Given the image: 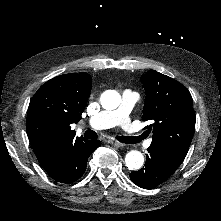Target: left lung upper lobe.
Wrapping results in <instances>:
<instances>
[{
	"instance_id": "5c2ea615",
	"label": "left lung upper lobe",
	"mask_w": 221,
	"mask_h": 221,
	"mask_svg": "<svg viewBox=\"0 0 221 221\" xmlns=\"http://www.w3.org/2000/svg\"><path fill=\"white\" fill-rule=\"evenodd\" d=\"M146 91L143 120L151 121L150 147L161 151L174 165L180 166L188 152L195 129V114L190 92L178 81L157 71L142 76Z\"/></svg>"
}]
</instances>
